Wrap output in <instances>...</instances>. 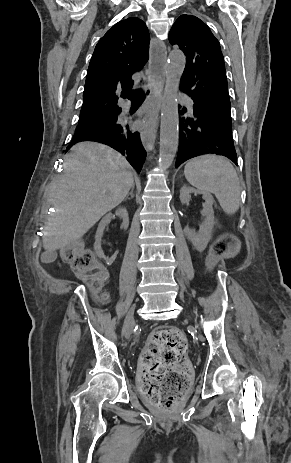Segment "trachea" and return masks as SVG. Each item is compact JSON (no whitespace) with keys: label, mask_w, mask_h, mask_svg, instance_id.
I'll return each mask as SVG.
<instances>
[{"label":"trachea","mask_w":291,"mask_h":463,"mask_svg":"<svg viewBox=\"0 0 291 463\" xmlns=\"http://www.w3.org/2000/svg\"><path fill=\"white\" fill-rule=\"evenodd\" d=\"M123 97L130 99L132 102L138 103V102H142L145 99V93L143 90L140 89V90H135L132 92H125L123 94Z\"/></svg>","instance_id":"1"}]
</instances>
